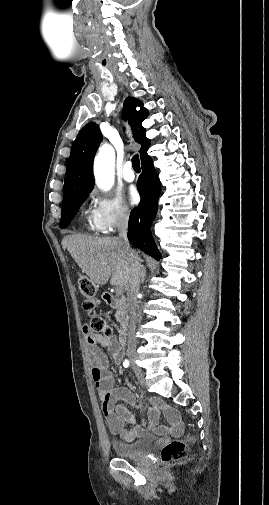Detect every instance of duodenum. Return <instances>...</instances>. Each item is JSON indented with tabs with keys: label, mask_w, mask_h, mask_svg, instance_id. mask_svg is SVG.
<instances>
[{
	"label": "duodenum",
	"mask_w": 269,
	"mask_h": 505,
	"mask_svg": "<svg viewBox=\"0 0 269 505\" xmlns=\"http://www.w3.org/2000/svg\"><path fill=\"white\" fill-rule=\"evenodd\" d=\"M104 302L111 308L118 309L125 313L127 304L126 300L122 297L115 296L111 293H104L102 295ZM128 337V320L124 315L121 320L120 328L118 331V339L121 345L126 344Z\"/></svg>",
	"instance_id": "1"
}]
</instances>
